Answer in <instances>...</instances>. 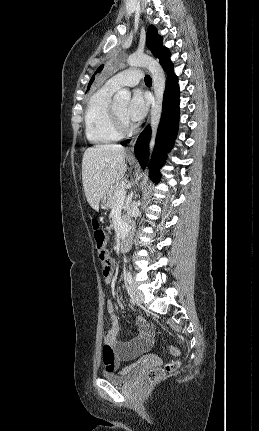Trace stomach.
Instances as JSON below:
<instances>
[{
  "mask_svg": "<svg viewBox=\"0 0 259 431\" xmlns=\"http://www.w3.org/2000/svg\"><path fill=\"white\" fill-rule=\"evenodd\" d=\"M100 207L102 208V209H108L109 207H110V204H109V197H108V194H106L102 199H101V201H100Z\"/></svg>",
  "mask_w": 259,
  "mask_h": 431,
  "instance_id": "obj_1",
  "label": "stomach"
}]
</instances>
